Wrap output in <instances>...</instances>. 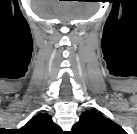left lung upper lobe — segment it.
<instances>
[{"label":"left lung upper lobe","mask_w":137,"mask_h":134,"mask_svg":"<svg viewBox=\"0 0 137 134\" xmlns=\"http://www.w3.org/2000/svg\"><path fill=\"white\" fill-rule=\"evenodd\" d=\"M73 134H127L124 129L105 117L101 112L90 109L83 112L73 126Z\"/></svg>","instance_id":"left-lung-upper-lobe-1"}]
</instances>
